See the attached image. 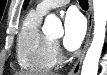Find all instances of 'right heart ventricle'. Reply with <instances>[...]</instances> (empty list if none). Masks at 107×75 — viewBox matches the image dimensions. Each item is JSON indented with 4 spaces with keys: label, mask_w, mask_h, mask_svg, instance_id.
I'll use <instances>...</instances> for the list:
<instances>
[{
    "label": "right heart ventricle",
    "mask_w": 107,
    "mask_h": 75,
    "mask_svg": "<svg viewBox=\"0 0 107 75\" xmlns=\"http://www.w3.org/2000/svg\"><path fill=\"white\" fill-rule=\"evenodd\" d=\"M41 18L42 14L31 11L22 23L17 40L18 63L31 72L51 71L57 63L53 41L40 31Z\"/></svg>",
    "instance_id": "1"
}]
</instances>
